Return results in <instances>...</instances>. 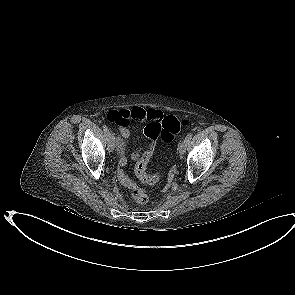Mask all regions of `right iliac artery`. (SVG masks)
<instances>
[{"mask_svg":"<svg viewBox=\"0 0 295 295\" xmlns=\"http://www.w3.org/2000/svg\"><path fill=\"white\" fill-rule=\"evenodd\" d=\"M103 130H104V132H105V134H106L107 136L110 135V132H109V130H108V128H107L106 125H103Z\"/></svg>","mask_w":295,"mask_h":295,"instance_id":"obj_1","label":"right iliac artery"}]
</instances>
